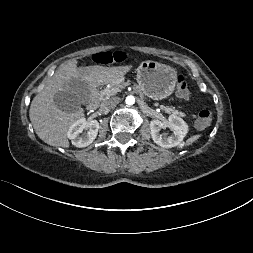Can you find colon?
<instances>
[{
	"label": "colon",
	"instance_id": "1",
	"mask_svg": "<svg viewBox=\"0 0 253 253\" xmlns=\"http://www.w3.org/2000/svg\"><path fill=\"white\" fill-rule=\"evenodd\" d=\"M121 56L119 52H99L92 56L94 62L98 64H109L113 61H116ZM177 94L182 98H189L190 90L187 80L184 76L179 75L177 77V85H176ZM212 122V112L208 109H202L199 111L196 126L199 129H204L208 127Z\"/></svg>",
	"mask_w": 253,
	"mask_h": 253
}]
</instances>
